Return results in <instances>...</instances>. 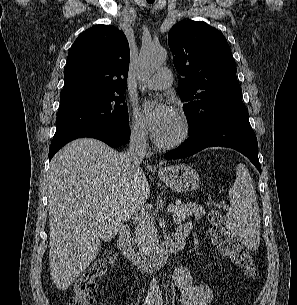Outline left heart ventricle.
Here are the masks:
<instances>
[{
    "mask_svg": "<svg viewBox=\"0 0 297 305\" xmlns=\"http://www.w3.org/2000/svg\"><path fill=\"white\" fill-rule=\"evenodd\" d=\"M179 123L175 117L169 128L158 138L161 141L173 139L179 132Z\"/></svg>",
    "mask_w": 297,
    "mask_h": 305,
    "instance_id": "obj_1",
    "label": "left heart ventricle"
}]
</instances>
